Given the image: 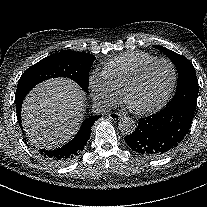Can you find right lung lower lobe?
<instances>
[{
    "label": "right lung lower lobe",
    "mask_w": 207,
    "mask_h": 207,
    "mask_svg": "<svg viewBox=\"0 0 207 207\" xmlns=\"http://www.w3.org/2000/svg\"><path fill=\"white\" fill-rule=\"evenodd\" d=\"M24 98L16 100L17 120L19 122L21 130H23L21 124V107ZM100 117L101 116H93L88 120L83 121L80 130L75 135V137L69 143H67L65 146L61 148L55 150H37L35 147L33 148H35L37 155L46 162H49L54 165L68 163L81 154L87 141L89 140L91 127L94 125L95 121ZM24 140H26V138H24Z\"/></svg>",
    "instance_id": "1"
}]
</instances>
